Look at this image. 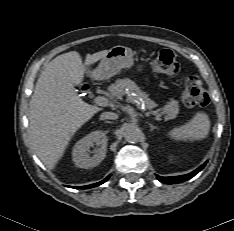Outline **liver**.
<instances>
[{"instance_id": "liver-1", "label": "liver", "mask_w": 234, "mask_h": 231, "mask_svg": "<svg viewBox=\"0 0 234 231\" xmlns=\"http://www.w3.org/2000/svg\"><path fill=\"white\" fill-rule=\"evenodd\" d=\"M108 51L87 54L84 63L78 52H67L42 70L30 101L29 137L47 168H55L73 135L101 110L84 102L74 86L82 83L87 67Z\"/></svg>"}]
</instances>
